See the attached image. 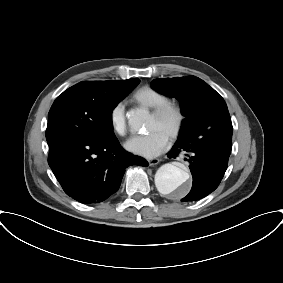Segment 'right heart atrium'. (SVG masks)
<instances>
[{
  "mask_svg": "<svg viewBox=\"0 0 283 283\" xmlns=\"http://www.w3.org/2000/svg\"><path fill=\"white\" fill-rule=\"evenodd\" d=\"M110 125L113 132L119 136L127 134V118L125 105L122 102L116 103L110 110Z\"/></svg>",
  "mask_w": 283,
  "mask_h": 283,
  "instance_id": "right-heart-atrium-1",
  "label": "right heart atrium"
}]
</instances>
